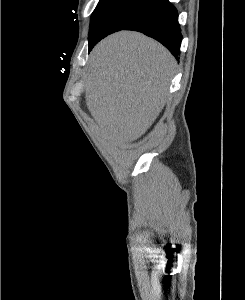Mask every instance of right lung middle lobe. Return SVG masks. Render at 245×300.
<instances>
[{"mask_svg":"<svg viewBox=\"0 0 245 300\" xmlns=\"http://www.w3.org/2000/svg\"><path fill=\"white\" fill-rule=\"evenodd\" d=\"M161 4L158 1L100 0L91 18L89 45L122 30Z\"/></svg>","mask_w":245,"mask_h":300,"instance_id":"right-lung-middle-lobe-1","label":"right lung middle lobe"}]
</instances>
